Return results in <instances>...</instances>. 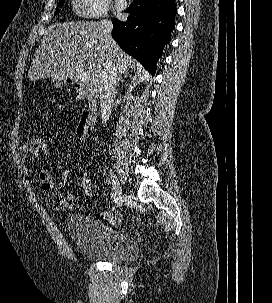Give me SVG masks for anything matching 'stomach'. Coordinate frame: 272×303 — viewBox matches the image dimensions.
I'll return each instance as SVG.
<instances>
[{"label":"stomach","instance_id":"stomach-1","mask_svg":"<svg viewBox=\"0 0 272 303\" xmlns=\"http://www.w3.org/2000/svg\"><path fill=\"white\" fill-rule=\"evenodd\" d=\"M55 86H56V87H60V84L56 83Z\"/></svg>","mask_w":272,"mask_h":303}]
</instances>
